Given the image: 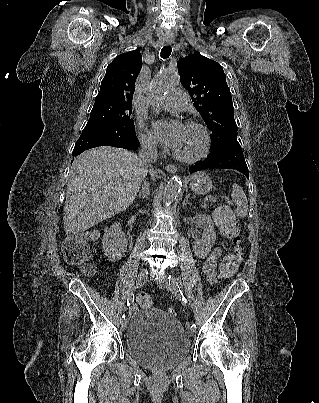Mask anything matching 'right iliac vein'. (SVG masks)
<instances>
[{
	"mask_svg": "<svg viewBox=\"0 0 319 403\" xmlns=\"http://www.w3.org/2000/svg\"><path fill=\"white\" fill-rule=\"evenodd\" d=\"M147 275H148V270L146 268L142 269L140 271V273L138 274V277L136 279V287L139 288L142 285H144V283L146 282L147 279ZM128 327V321L127 319L123 320V322L121 323V329L123 331H125Z\"/></svg>",
	"mask_w": 319,
	"mask_h": 403,
	"instance_id": "obj_1",
	"label": "right iliac vein"
}]
</instances>
